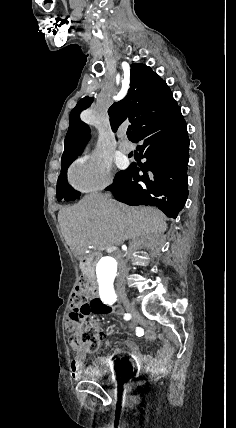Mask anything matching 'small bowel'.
<instances>
[{
    "instance_id": "small-bowel-1",
    "label": "small bowel",
    "mask_w": 236,
    "mask_h": 428,
    "mask_svg": "<svg viewBox=\"0 0 236 428\" xmlns=\"http://www.w3.org/2000/svg\"><path fill=\"white\" fill-rule=\"evenodd\" d=\"M134 330L138 336H144L149 343L154 341L156 338L155 332L149 328L136 327ZM99 336L101 340L105 339V335L103 333H100ZM160 338L164 341L165 345L161 350L156 352L155 356H146L142 354L131 340H127L126 343L129 354L138 367L143 368L146 371H154L160 367L164 363V360L171 354L172 347L168 340H166L162 335H160ZM118 352H120L119 349L114 350V354ZM114 354L100 358L99 364L107 367L113 366ZM85 359L86 354L84 352H78L76 354L71 364V371L74 377L80 376L85 371Z\"/></svg>"
}]
</instances>
